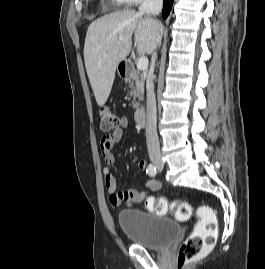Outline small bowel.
I'll list each match as a JSON object with an SVG mask.
<instances>
[{"label":"small bowel","instance_id":"obj_1","mask_svg":"<svg viewBox=\"0 0 265 269\" xmlns=\"http://www.w3.org/2000/svg\"><path fill=\"white\" fill-rule=\"evenodd\" d=\"M129 125V120L126 117L121 119V128L108 136H105L101 141V153L105 160L106 167L103 169L104 181L107 191L110 194L109 201L114 207L120 206L122 203L127 205H134L144 200L146 191H139L134 187L127 188L122 191H117V183L115 177L110 171L111 165L116 162V156L113 152L115 144L121 140L123 136L122 128H126ZM137 167L140 171H145L146 161L141 159L137 162ZM147 191H157L160 189V183L155 179H149L145 183Z\"/></svg>","mask_w":265,"mask_h":269}]
</instances>
